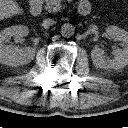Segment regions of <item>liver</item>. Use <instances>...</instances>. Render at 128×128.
<instances>
[{
	"label": "liver",
	"mask_w": 128,
	"mask_h": 128,
	"mask_svg": "<svg viewBox=\"0 0 128 128\" xmlns=\"http://www.w3.org/2000/svg\"><path fill=\"white\" fill-rule=\"evenodd\" d=\"M22 13L23 9L15 0H0V20Z\"/></svg>",
	"instance_id": "6515ba94"
}]
</instances>
